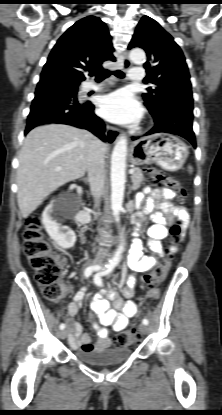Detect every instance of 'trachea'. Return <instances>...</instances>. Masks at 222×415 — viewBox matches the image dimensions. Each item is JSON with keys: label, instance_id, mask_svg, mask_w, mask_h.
I'll list each match as a JSON object with an SVG mask.
<instances>
[{"label": "trachea", "instance_id": "1", "mask_svg": "<svg viewBox=\"0 0 222 415\" xmlns=\"http://www.w3.org/2000/svg\"><path fill=\"white\" fill-rule=\"evenodd\" d=\"M111 74H114L118 78H124L125 77V74L120 70H117V71H114V72H111L109 70H105V71H102V72H99V73L96 74V81H102V80L106 79L107 77H109Z\"/></svg>", "mask_w": 222, "mask_h": 415}]
</instances>
